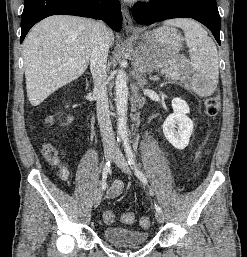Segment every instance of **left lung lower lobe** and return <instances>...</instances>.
Wrapping results in <instances>:
<instances>
[{
  "mask_svg": "<svg viewBox=\"0 0 247 257\" xmlns=\"http://www.w3.org/2000/svg\"><path fill=\"white\" fill-rule=\"evenodd\" d=\"M132 14L138 23L145 25L172 18H193L207 26L221 45V21L216 0H151L149 4L137 3Z\"/></svg>",
  "mask_w": 247,
  "mask_h": 257,
  "instance_id": "obj_1",
  "label": "left lung lower lobe"
}]
</instances>
